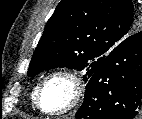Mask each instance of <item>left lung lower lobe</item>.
<instances>
[{
    "label": "left lung lower lobe",
    "mask_w": 142,
    "mask_h": 119,
    "mask_svg": "<svg viewBox=\"0 0 142 119\" xmlns=\"http://www.w3.org/2000/svg\"><path fill=\"white\" fill-rule=\"evenodd\" d=\"M142 31L113 48L87 82L80 119H141Z\"/></svg>",
    "instance_id": "obj_1"
}]
</instances>
